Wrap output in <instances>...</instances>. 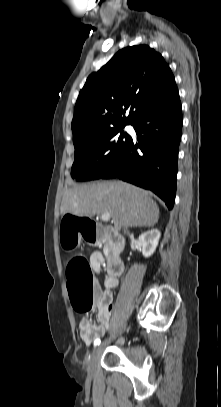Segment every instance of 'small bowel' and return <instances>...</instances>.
<instances>
[{
	"instance_id": "1",
	"label": "small bowel",
	"mask_w": 221,
	"mask_h": 407,
	"mask_svg": "<svg viewBox=\"0 0 221 407\" xmlns=\"http://www.w3.org/2000/svg\"><path fill=\"white\" fill-rule=\"evenodd\" d=\"M104 263V256L101 252H94L90 256V266L95 273H99ZM119 284L118 276L107 274L104 278L103 288L95 287L94 309L97 312L98 320L92 323L88 318L79 319L80 335L86 344H91L94 339L104 335L110 326L111 313L113 311V298L111 290Z\"/></svg>"
}]
</instances>
